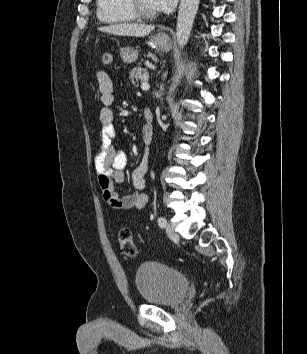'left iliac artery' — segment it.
<instances>
[{
	"mask_svg": "<svg viewBox=\"0 0 307 354\" xmlns=\"http://www.w3.org/2000/svg\"><path fill=\"white\" fill-rule=\"evenodd\" d=\"M158 224L161 228H165L166 227V224H167V221L164 217H159L158 218Z\"/></svg>",
	"mask_w": 307,
	"mask_h": 354,
	"instance_id": "left-iliac-artery-1",
	"label": "left iliac artery"
}]
</instances>
